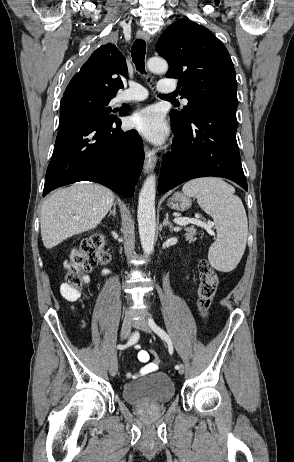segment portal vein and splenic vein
<instances>
[{"mask_svg": "<svg viewBox=\"0 0 294 462\" xmlns=\"http://www.w3.org/2000/svg\"><path fill=\"white\" fill-rule=\"evenodd\" d=\"M174 222L179 226H186L192 223L199 226L207 227V225L204 222L194 218H175Z\"/></svg>", "mask_w": 294, "mask_h": 462, "instance_id": "18ae733b", "label": "portal vein and splenic vein"}]
</instances>
